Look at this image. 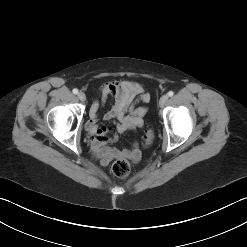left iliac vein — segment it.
Returning <instances> with one entry per match:
<instances>
[{
    "instance_id": "left-iliac-vein-1",
    "label": "left iliac vein",
    "mask_w": 247,
    "mask_h": 247,
    "mask_svg": "<svg viewBox=\"0 0 247 247\" xmlns=\"http://www.w3.org/2000/svg\"><path fill=\"white\" fill-rule=\"evenodd\" d=\"M167 100H168V95H163L161 98H160V101H159V105L161 106V107H163L164 105H165V103L167 102Z\"/></svg>"
}]
</instances>
